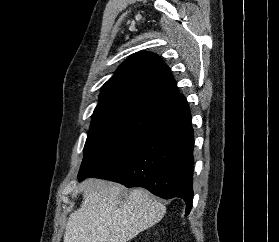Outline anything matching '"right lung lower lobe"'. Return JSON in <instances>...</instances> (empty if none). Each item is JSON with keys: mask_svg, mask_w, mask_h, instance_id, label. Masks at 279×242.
<instances>
[{"mask_svg": "<svg viewBox=\"0 0 279 242\" xmlns=\"http://www.w3.org/2000/svg\"><path fill=\"white\" fill-rule=\"evenodd\" d=\"M193 135L188 104L167 111L145 141L96 177L143 187L165 199L182 198L187 216L193 201Z\"/></svg>", "mask_w": 279, "mask_h": 242, "instance_id": "1", "label": "right lung lower lobe"}]
</instances>
